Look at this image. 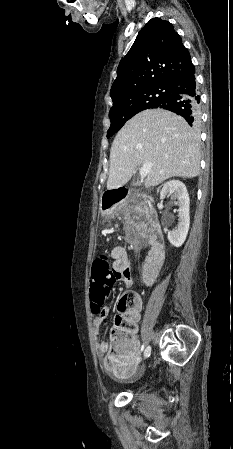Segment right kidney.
<instances>
[{
	"mask_svg": "<svg viewBox=\"0 0 233 449\" xmlns=\"http://www.w3.org/2000/svg\"><path fill=\"white\" fill-rule=\"evenodd\" d=\"M167 195H170L175 200L177 199L176 205L178 206L179 217L177 227L173 231L168 232V240L173 246L180 247L186 240L189 231L190 199L186 186L179 180H171L164 184L160 192V198L164 199Z\"/></svg>",
	"mask_w": 233,
	"mask_h": 449,
	"instance_id": "1",
	"label": "right kidney"
}]
</instances>
